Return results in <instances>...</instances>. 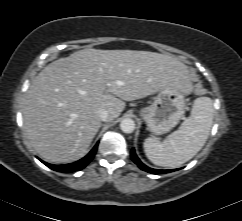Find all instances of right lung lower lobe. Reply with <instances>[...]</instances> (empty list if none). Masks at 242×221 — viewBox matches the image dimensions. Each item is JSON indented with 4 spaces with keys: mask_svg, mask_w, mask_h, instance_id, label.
Segmentation results:
<instances>
[{
    "mask_svg": "<svg viewBox=\"0 0 242 221\" xmlns=\"http://www.w3.org/2000/svg\"><path fill=\"white\" fill-rule=\"evenodd\" d=\"M98 144H96L94 146V148L89 152V154L87 156H85L84 158L80 159L77 162L74 163H70V164H64V165H53V164H49L46 162H43L46 166H48L49 168L55 170V171H59V172H74L77 170H81L84 167L87 166V164L93 159L96 150H97Z\"/></svg>",
    "mask_w": 242,
    "mask_h": 221,
    "instance_id": "1",
    "label": "right lung lower lobe"
}]
</instances>
